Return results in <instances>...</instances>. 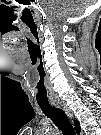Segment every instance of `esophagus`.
Listing matches in <instances>:
<instances>
[{
	"mask_svg": "<svg viewBox=\"0 0 101 135\" xmlns=\"http://www.w3.org/2000/svg\"><path fill=\"white\" fill-rule=\"evenodd\" d=\"M52 105L57 107V108H61L64 110V112L67 114V116L70 118V119H73V113L71 111V109L68 107V105L62 101V100H55L52 102Z\"/></svg>",
	"mask_w": 101,
	"mask_h": 135,
	"instance_id": "esophagus-1",
	"label": "esophagus"
}]
</instances>
